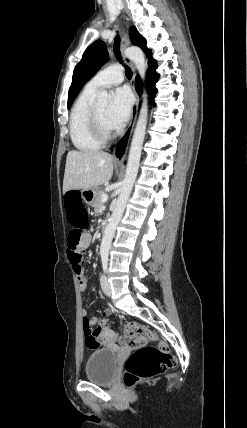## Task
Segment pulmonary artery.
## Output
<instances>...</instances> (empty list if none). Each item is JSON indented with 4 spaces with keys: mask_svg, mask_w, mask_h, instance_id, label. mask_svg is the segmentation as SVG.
Wrapping results in <instances>:
<instances>
[{
    "mask_svg": "<svg viewBox=\"0 0 247 428\" xmlns=\"http://www.w3.org/2000/svg\"><path fill=\"white\" fill-rule=\"evenodd\" d=\"M124 79L123 68L118 65H112L94 76L87 84L91 89L99 90L120 84Z\"/></svg>",
    "mask_w": 247,
    "mask_h": 428,
    "instance_id": "e3ab8cb5",
    "label": "pulmonary artery"
}]
</instances>
